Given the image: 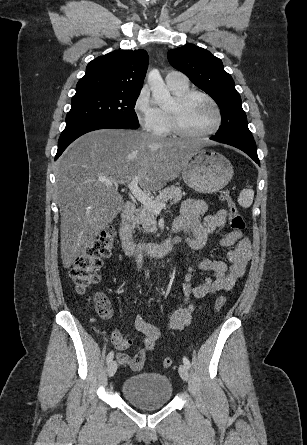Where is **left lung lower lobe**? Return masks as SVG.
I'll use <instances>...</instances> for the list:
<instances>
[{
	"mask_svg": "<svg viewBox=\"0 0 307 445\" xmlns=\"http://www.w3.org/2000/svg\"><path fill=\"white\" fill-rule=\"evenodd\" d=\"M210 139L234 146L247 155H249L257 164H260L257 155V148L253 138H241V137H211Z\"/></svg>",
	"mask_w": 307,
	"mask_h": 445,
	"instance_id": "left-lung-lower-lobe-1",
	"label": "left lung lower lobe"
}]
</instances>
